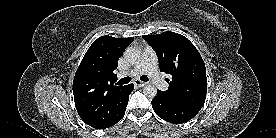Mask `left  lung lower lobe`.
<instances>
[{"label": "left lung lower lobe", "mask_w": 276, "mask_h": 138, "mask_svg": "<svg viewBox=\"0 0 276 138\" xmlns=\"http://www.w3.org/2000/svg\"><path fill=\"white\" fill-rule=\"evenodd\" d=\"M151 104L154 112L160 118L170 123L187 122L200 111L166 98L162 91L159 90L157 96L151 101Z\"/></svg>", "instance_id": "1"}]
</instances>
